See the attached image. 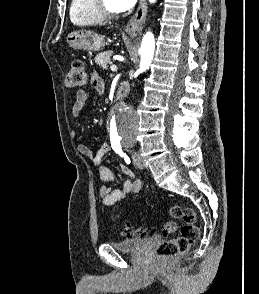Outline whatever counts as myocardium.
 Masks as SVG:
<instances>
[{"instance_id": "1", "label": "myocardium", "mask_w": 259, "mask_h": 294, "mask_svg": "<svg viewBox=\"0 0 259 294\" xmlns=\"http://www.w3.org/2000/svg\"><path fill=\"white\" fill-rule=\"evenodd\" d=\"M93 7L97 15L105 21L116 19L120 15L119 11L108 9L104 4V0H93Z\"/></svg>"}]
</instances>
